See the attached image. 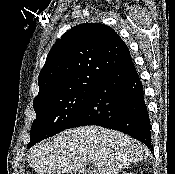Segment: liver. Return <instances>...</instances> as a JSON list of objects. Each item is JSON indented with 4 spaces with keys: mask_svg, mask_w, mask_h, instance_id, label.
I'll return each instance as SVG.
<instances>
[{
    "mask_svg": "<svg viewBox=\"0 0 175 174\" xmlns=\"http://www.w3.org/2000/svg\"><path fill=\"white\" fill-rule=\"evenodd\" d=\"M148 155L147 147L129 135L92 125L65 130L35 145L28 164L38 174H86V163L95 165V174H118Z\"/></svg>",
    "mask_w": 175,
    "mask_h": 174,
    "instance_id": "1",
    "label": "liver"
}]
</instances>
